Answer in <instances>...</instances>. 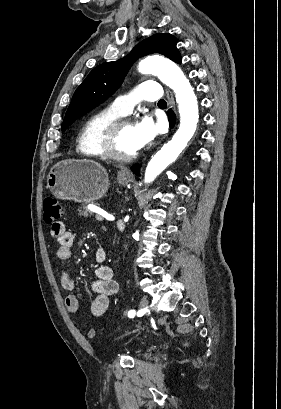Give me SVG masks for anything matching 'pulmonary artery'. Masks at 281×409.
Masks as SVG:
<instances>
[{"mask_svg": "<svg viewBox=\"0 0 281 409\" xmlns=\"http://www.w3.org/2000/svg\"><path fill=\"white\" fill-rule=\"evenodd\" d=\"M140 90L127 91L126 97H116L112 108L119 115H125L130 110L129 106H136L138 99H147L149 102H158L160 100L159 83L157 81H140L138 83Z\"/></svg>", "mask_w": 281, "mask_h": 409, "instance_id": "e3ab8cb5", "label": "pulmonary artery"}]
</instances>
